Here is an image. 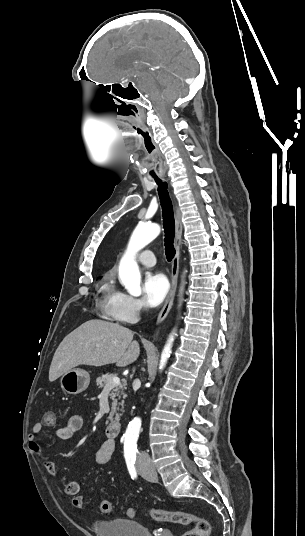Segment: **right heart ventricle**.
I'll return each instance as SVG.
<instances>
[{"label": "right heart ventricle", "instance_id": "1", "mask_svg": "<svg viewBox=\"0 0 305 536\" xmlns=\"http://www.w3.org/2000/svg\"><path fill=\"white\" fill-rule=\"evenodd\" d=\"M116 292L113 281L106 276L103 280L101 290H100V300L105 310L109 309L114 294Z\"/></svg>", "mask_w": 305, "mask_h": 536}]
</instances>
